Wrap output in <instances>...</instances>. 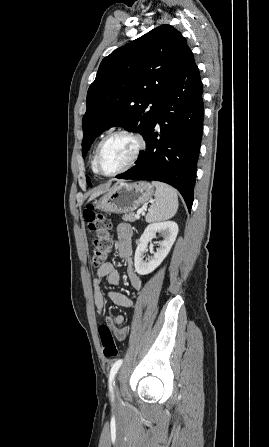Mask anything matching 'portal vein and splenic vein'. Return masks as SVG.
Listing matches in <instances>:
<instances>
[{"label":"portal vein and splenic vein","mask_w":269,"mask_h":447,"mask_svg":"<svg viewBox=\"0 0 269 447\" xmlns=\"http://www.w3.org/2000/svg\"><path fill=\"white\" fill-rule=\"evenodd\" d=\"M143 214H144V212H143ZM139 218H140V214H135V220H139Z\"/></svg>","instance_id":"1"}]
</instances>
